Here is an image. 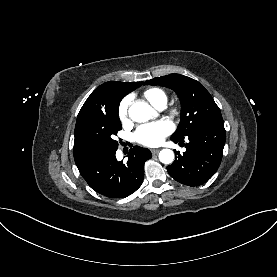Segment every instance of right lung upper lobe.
<instances>
[{"label": "right lung upper lobe", "instance_id": "cb5924a9", "mask_svg": "<svg viewBox=\"0 0 277 277\" xmlns=\"http://www.w3.org/2000/svg\"><path fill=\"white\" fill-rule=\"evenodd\" d=\"M143 82H117L109 81L97 87L85 101L76 121L74 140V160L76 165L91 158L80 145L77 137L80 126L89 118L108 115L116 109L121 99L140 87Z\"/></svg>", "mask_w": 277, "mask_h": 277}]
</instances>
